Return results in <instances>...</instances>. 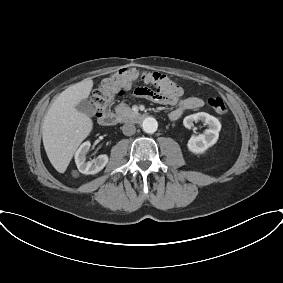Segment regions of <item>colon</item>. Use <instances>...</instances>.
<instances>
[{"mask_svg": "<svg viewBox=\"0 0 283 283\" xmlns=\"http://www.w3.org/2000/svg\"><path fill=\"white\" fill-rule=\"evenodd\" d=\"M142 80L145 84L155 87H135L133 94L143 97H152L159 101H165L174 93L173 81L164 74L158 72H140L134 68H122L105 78L98 89L93 93L91 102L97 115L104 113L113 100L116 92L122 93L123 87L130 86L136 80ZM208 105L218 114H225L227 106L221 97H210Z\"/></svg>", "mask_w": 283, "mask_h": 283, "instance_id": "5ec220e1", "label": "colon"}]
</instances>
